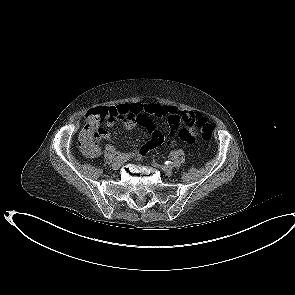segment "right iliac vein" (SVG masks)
Segmentation results:
<instances>
[{"label":"right iliac vein","mask_w":295,"mask_h":295,"mask_svg":"<svg viewBox=\"0 0 295 295\" xmlns=\"http://www.w3.org/2000/svg\"><path fill=\"white\" fill-rule=\"evenodd\" d=\"M121 166H122V163H121L120 161H115V162L112 164V168H113L114 170H118V169H120Z\"/></svg>","instance_id":"1"}]
</instances>
